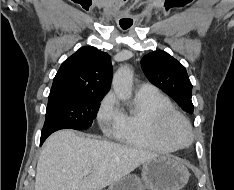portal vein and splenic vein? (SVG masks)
<instances>
[{
  "label": "portal vein and splenic vein",
  "mask_w": 234,
  "mask_h": 190,
  "mask_svg": "<svg viewBox=\"0 0 234 190\" xmlns=\"http://www.w3.org/2000/svg\"><path fill=\"white\" fill-rule=\"evenodd\" d=\"M90 173V169H85L84 171H83V174L84 175H88Z\"/></svg>",
  "instance_id": "portal-vein-and-splenic-vein-1"
}]
</instances>
